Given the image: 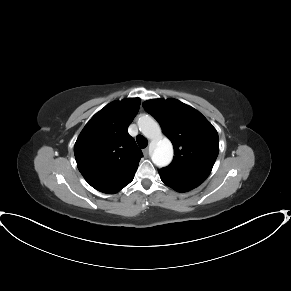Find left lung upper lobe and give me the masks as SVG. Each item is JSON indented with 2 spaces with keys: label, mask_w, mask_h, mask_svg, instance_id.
<instances>
[{
  "label": "left lung upper lobe",
  "mask_w": 291,
  "mask_h": 291,
  "mask_svg": "<svg viewBox=\"0 0 291 291\" xmlns=\"http://www.w3.org/2000/svg\"><path fill=\"white\" fill-rule=\"evenodd\" d=\"M144 109L161 125L174 147L172 163L159 170L162 177L201 184L210 174L219 152L216 129L196 109L176 99H154Z\"/></svg>",
  "instance_id": "left-lung-upper-lobe-1"
}]
</instances>
